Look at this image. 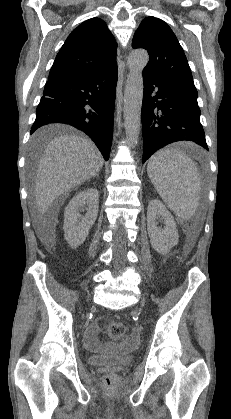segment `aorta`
<instances>
[{
  "mask_svg": "<svg viewBox=\"0 0 231 419\" xmlns=\"http://www.w3.org/2000/svg\"><path fill=\"white\" fill-rule=\"evenodd\" d=\"M149 61L145 50L132 51L127 63L129 74L124 93V126L126 138L133 148L138 143L143 100V70Z\"/></svg>",
  "mask_w": 231,
  "mask_h": 419,
  "instance_id": "762f6f07",
  "label": "aorta"
}]
</instances>
